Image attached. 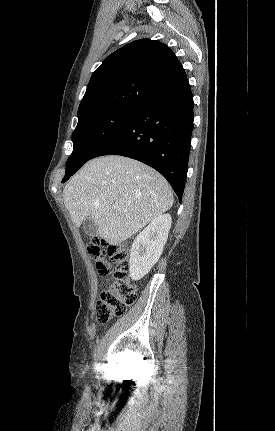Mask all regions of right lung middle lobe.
Wrapping results in <instances>:
<instances>
[{
	"mask_svg": "<svg viewBox=\"0 0 275 431\" xmlns=\"http://www.w3.org/2000/svg\"><path fill=\"white\" fill-rule=\"evenodd\" d=\"M138 108L116 107L79 118L72 134L73 152L67 160L65 182L133 117Z\"/></svg>",
	"mask_w": 275,
	"mask_h": 431,
	"instance_id": "dd1d6c3e",
	"label": "right lung middle lobe"
}]
</instances>
